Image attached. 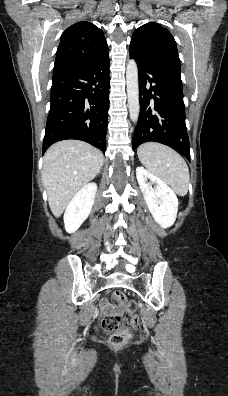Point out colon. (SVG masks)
Returning <instances> with one entry per match:
<instances>
[{"mask_svg":"<svg viewBox=\"0 0 228 396\" xmlns=\"http://www.w3.org/2000/svg\"><path fill=\"white\" fill-rule=\"evenodd\" d=\"M113 300L125 307L123 315L112 314L102 319V327L104 330L111 332L109 343L113 347H120L128 340V335L121 330V326L127 324L133 328L140 327V319L137 314V305L134 301H126L123 292L117 290L113 293Z\"/></svg>","mask_w":228,"mask_h":396,"instance_id":"obj_1","label":"colon"}]
</instances>
